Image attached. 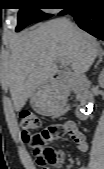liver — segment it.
Returning a JSON list of instances; mask_svg holds the SVG:
<instances>
[{"instance_id": "1", "label": "liver", "mask_w": 104, "mask_h": 169, "mask_svg": "<svg viewBox=\"0 0 104 169\" xmlns=\"http://www.w3.org/2000/svg\"><path fill=\"white\" fill-rule=\"evenodd\" d=\"M100 44L90 34L57 18L40 24L15 38L4 79L15 111L57 72L56 62L66 59L75 76H82L93 64Z\"/></svg>"}]
</instances>
